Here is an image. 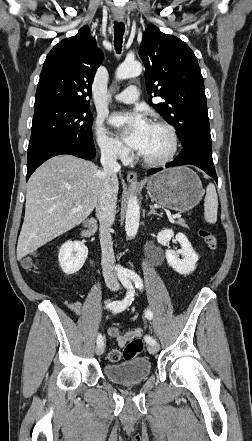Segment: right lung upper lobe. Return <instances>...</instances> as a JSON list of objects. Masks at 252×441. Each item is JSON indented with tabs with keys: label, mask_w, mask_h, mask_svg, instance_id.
<instances>
[{
	"label": "right lung upper lobe",
	"mask_w": 252,
	"mask_h": 441,
	"mask_svg": "<svg viewBox=\"0 0 252 441\" xmlns=\"http://www.w3.org/2000/svg\"><path fill=\"white\" fill-rule=\"evenodd\" d=\"M102 60L103 53L87 26L60 41L46 57L34 106L50 102L89 105L92 82Z\"/></svg>",
	"instance_id": "right-lung-upper-lobe-1"
}]
</instances>
